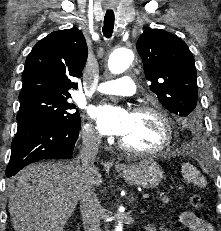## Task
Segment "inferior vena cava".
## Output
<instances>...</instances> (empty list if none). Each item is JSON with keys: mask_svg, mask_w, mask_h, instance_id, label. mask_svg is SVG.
Wrapping results in <instances>:
<instances>
[{"mask_svg": "<svg viewBox=\"0 0 221 231\" xmlns=\"http://www.w3.org/2000/svg\"><path fill=\"white\" fill-rule=\"evenodd\" d=\"M82 138V148L74 164L80 174V211L84 231H101V206L93 184V174L96 170L94 162L101 143V136L92 129H88Z\"/></svg>", "mask_w": 221, "mask_h": 231, "instance_id": "1", "label": "inferior vena cava"}]
</instances>
